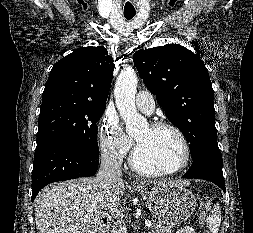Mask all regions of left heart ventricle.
I'll return each mask as SVG.
<instances>
[{"mask_svg":"<svg viewBox=\"0 0 253 233\" xmlns=\"http://www.w3.org/2000/svg\"><path fill=\"white\" fill-rule=\"evenodd\" d=\"M137 156L148 169L168 170L178 166L183 159V147L170 130H152L149 126L135 134Z\"/></svg>","mask_w":253,"mask_h":233,"instance_id":"1","label":"left heart ventricle"}]
</instances>
